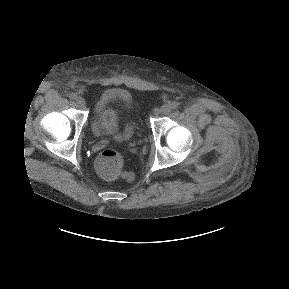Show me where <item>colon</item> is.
Wrapping results in <instances>:
<instances>
[{
  "label": "colon",
  "instance_id": "obj_1",
  "mask_svg": "<svg viewBox=\"0 0 289 289\" xmlns=\"http://www.w3.org/2000/svg\"><path fill=\"white\" fill-rule=\"evenodd\" d=\"M96 167L104 178L110 180L124 176V159L121 153L114 149L102 151L96 160Z\"/></svg>",
  "mask_w": 289,
  "mask_h": 289
}]
</instances>
